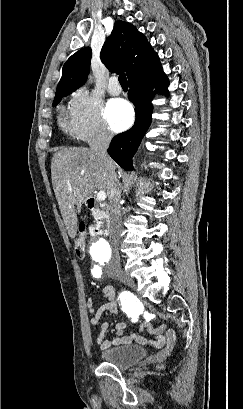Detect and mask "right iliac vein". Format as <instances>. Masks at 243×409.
<instances>
[{
	"instance_id": "63e3f726",
	"label": "right iliac vein",
	"mask_w": 243,
	"mask_h": 409,
	"mask_svg": "<svg viewBox=\"0 0 243 409\" xmlns=\"http://www.w3.org/2000/svg\"><path fill=\"white\" fill-rule=\"evenodd\" d=\"M113 276L120 280L121 282H123L124 284L130 286V287H135V282L133 281V279L131 277H129L128 275H126L123 272H117L114 273Z\"/></svg>"
}]
</instances>
